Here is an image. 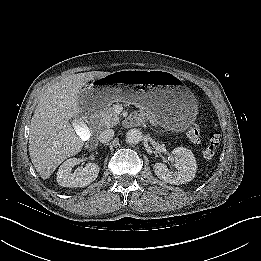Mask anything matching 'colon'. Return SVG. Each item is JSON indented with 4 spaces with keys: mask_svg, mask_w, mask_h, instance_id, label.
<instances>
[{
    "mask_svg": "<svg viewBox=\"0 0 261 261\" xmlns=\"http://www.w3.org/2000/svg\"><path fill=\"white\" fill-rule=\"evenodd\" d=\"M188 140L191 143H198L200 141V129L197 126H192L187 133ZM220 133L215 128H208L206 130V139L202 155L204 158H212L219 143Z\"/></svg>",
    "mask_w": 261,
    "mask_h": 261,
    "instance_id": "obj_1",
    "label": "colon"
}]
</instances>
